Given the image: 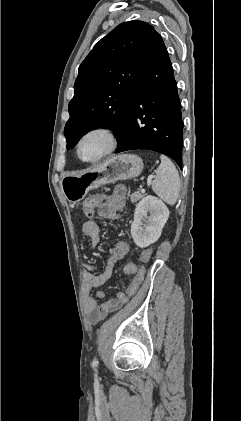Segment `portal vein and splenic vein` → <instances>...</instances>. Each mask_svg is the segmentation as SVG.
<instances>
[{"mask_svg": "<svg viewBox=\"0 0 241 421\" xmlns=\"http://www.w3.org/2000/svg\"><path fill=\"white\" fill-rule=\"evenodd\" d=\"M154 177H155V176H154V175H152V174H151V175H149V176H148V178H147V183L149 184V183L151 182V180H152ZM141 192H142V193H145V189H144V188H142V189H141Z\"/></svg>", "mask_w": 241, "mask_h": 421, "instance_id": "portal-vein-and-splenic-vein-1", "label": "portal vein and splenic vein"}]
</instances>
